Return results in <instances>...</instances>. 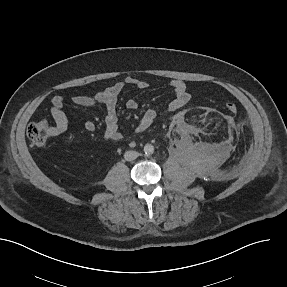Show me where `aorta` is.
<instances>
[{
	"label": "aorta",
	"mask_w": 287,
	"mask_h": 287,
	"mask_svg": "<svg viewBox=\"0 0 287 287\" xmlns=\"http://www.w3.org/2000/svg\"><path fill=\"white\" fill-rule=\"evenodd\" d=\"M154 152V146L152 144H146L144 146V153L148 156L153 154Z\"/></svg>",
	"instance_id": "obj_1"
}]
</instances>
